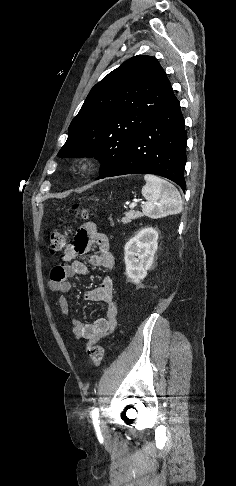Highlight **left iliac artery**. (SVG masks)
I'll return each instance as SVG.
<instances>
[{
  "label": "left iliac artery",
  "instance_id": "44dca946",
  "mask_svg": "<svg viewBox=\"0 0 236 486\" xmlns=\"http://www.w3.org/2000/svg\"><path fill=\"white\" fill-rule=\"evenodd\" d=\"M98 417H99V411H98L97 408H95L92 412V419H93V424H94L96 431L100 430Z\"/></svg>",
  "mask_w": 236,
  "mask_h": 486
}]
</instances>
